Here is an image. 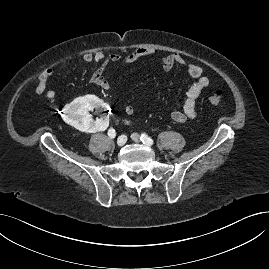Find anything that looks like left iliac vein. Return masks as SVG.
Wrapping results in <instances>:
<instances>
[{"label": "left iliac vein", "mask_w": 269, "mask_h": 269, "mask_svg": "<svg viewBox=\"0 0 269 269\" xmlns=\"http://www.w3.org/2000/svg\"><path fill=\"white\" fill-rule=\"evenodd\" d=\"M131 138L133 139V141H135V142H140V136L137 134V133H133L132 135H131Z\"/></svg>", "instance_id": "4c4485c4"}]
</instances>
